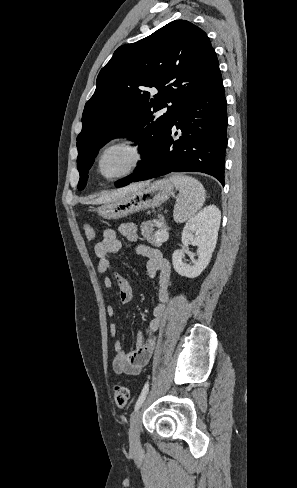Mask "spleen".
Masks as SVG:
<instances>
[{
	"label": "spleen",
	"instance_id": "spleen-1",
	"mask_svg": "<svg viewBox=\"0 0 297 488\" xmlns=\"http://www.w3.org/2000/svg\"><path fill=\"white\" fill-rule=\"evenodd\" d=\"M170 180L179 190L174 219L177 222L186 221L203 206L205 190L198 180L189 176L173 175Z\"/></svg>",
	"mask_w": 297,
	"mask_h": 488
}]
</instances>
